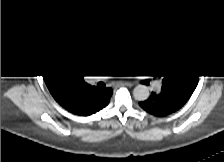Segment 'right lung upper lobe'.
Returning <instances> with one entry per match:
<instances>
[{
  "mask_svg": "<svg viewBox=\"0 0 224 162\" xmlns=\"http://www.w3.org/2000/svg\"><path fill=\"white\" fill-rule=\"evenodd\" d=\"M43 77L53 98L73 114L94 113L103 100L111 94V90L103 92L89 87L78 73L70 77L52 71L44 74Z\"/></svg>",
  "mask_w": 224,
  "mask_h": 162,
  "instance_id": "1",
  "label": "right lung upper lobe"
}]
</instances>
